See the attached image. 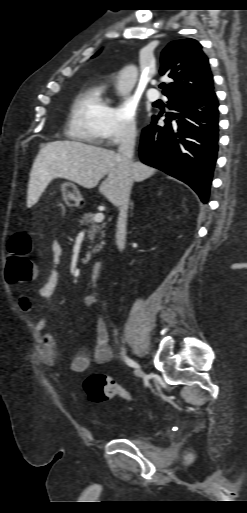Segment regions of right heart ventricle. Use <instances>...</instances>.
Masks as SVG:
<instances>
[{
    "instance_id": "1",
    "label": "right heart ventricle",
    "mask_w": 247,
    "mask_h": 513,
    "mask_svg": "<svg viewBox=\"0 0 247 513\" xmlns=\"http://www.w3.org/2000/svg\"><path fill=\"white\" fill-rule=\"evenodd\" d=\"M110 108L104 84L93 83L84 87L71 105L67 136L79 142L101 144Z\"/></svg>"
}]
</instances>
